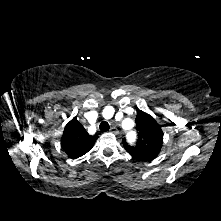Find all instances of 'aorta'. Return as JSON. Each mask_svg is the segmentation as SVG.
I'll return each mask as SVG.
<instances>
[{"instance_id": "1", "label": "aorta", "mask_w": 221, "mask_h": 221, "mask_svg": "<svg viewBox=\"0 0 221 221\" xmlns=\"http://www.w3.org/2000/svg\"><path fill=\"white\" fill-rule=\"evenodd\" d=\"M127 137L130 141H133L134 138H135V132L132 131V130H129L128 133H127Z\"/></svg>"}]
</instances>
